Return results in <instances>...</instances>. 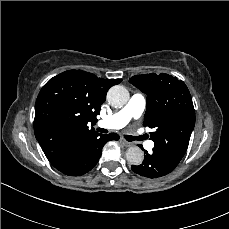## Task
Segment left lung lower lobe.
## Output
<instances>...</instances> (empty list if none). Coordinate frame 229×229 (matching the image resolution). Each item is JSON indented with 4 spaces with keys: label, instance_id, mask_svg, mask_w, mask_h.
Returning <instances> with one entry per match:
<instances>
[{
    "label": "left lung lower lobe",
    "instance_id": "1",
    "mask_svg": "<svg viewBox=\"0 0 229 229\" xmlns=\"http://www.w3.org/2000/svg\"><path fill=\"white\" fill-rule=\"evenodd\" d=\"M145 153L146 155L142 164L131 166L135 173L154 179L165 176L174 170V168L169 167L160 161L154 151L152 154H148L147 151H145Z\"/></svg>",
    "mask_w": 229,
    "mask_h": 229
}]
</instances>
